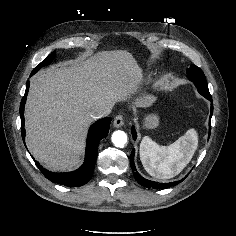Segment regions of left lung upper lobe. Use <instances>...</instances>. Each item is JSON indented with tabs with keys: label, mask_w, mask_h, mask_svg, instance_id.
Listing matches in <instances>:
<instances>
[{
	"label": "left lung upper lobe",
	"mask_w": 236,
	"mask_h": 236,
	"mask_svg": "<svg viewBox=\"0 0 236 236\" xmlns=\"http://www.w3.org/2000/svg\"><path fill=\"white\" fill-rule=\"evenodd\" d=\"M187 77L195 84L201 95L205 98L211 97L206 78L200 68L195 65H191V67L187 70Z\"/></svg>",
	"instance_id": "5c2ea615"
}]
</instances>
